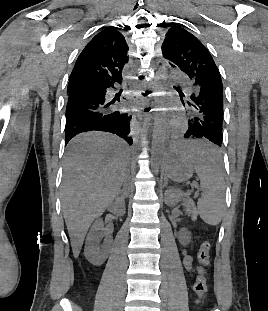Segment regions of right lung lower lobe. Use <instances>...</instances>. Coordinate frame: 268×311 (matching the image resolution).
<instances>
[{
    "mask_svg": "<svg viewBox=\"0 0 268 311\" xmlns=\"http://www.w3.org/2000/svg\"><path fill=\"white\" fill-rule=\"evenodd\" d=\"M121 84L122 77L107 83L95 85L94 91L73 89L68 93L66 107L65 145L77 134L87 131H105L125 139L129 137L132 115L125 112L118 103L109 101L107 90L114 84Z\"/></svg>",
    "mask_w": 268,
    "mask_h": 311,
    "instance_id": "obj_1",
    "label": "right lung lower lobe"
}]
</instances>
